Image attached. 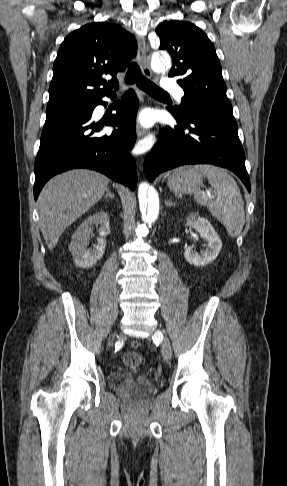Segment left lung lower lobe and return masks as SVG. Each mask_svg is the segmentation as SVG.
I'll return each instance as SVG.
<instances>
[{
  "label": "left lung lower lobe",
  "mask_w": 287,
  "mask_h": 486,
  "mask_svg": "<svg viewBox=\"0 0 287 486\" xmlns=\"http://www.w3.org/2000/svg\"><path fill=\"white\" fill-rule=\"evenodd\" d=\"M171 112L178 125L163 128L157 143L146 156L144 172L148 180L153 181L159 173L181 165L214 164L232 170L250 192L237 127L197 114L180 118Z\"/></svg>",
  "instance_id": "1"
}]
</instances>
